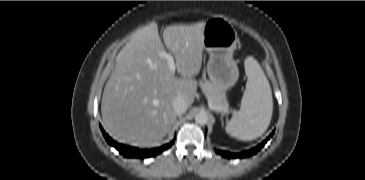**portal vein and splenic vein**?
Here are the masks:
<instances>
[{
	"label": "portal vein and splenic vein",
	"mask_w": 365,
	"mask_h": 180,
	"mask_svg": "<svg viewBox=\"0 0 365 180\" xmlns=\"http://www.w3.org/2000/svg\"><path fill=\"white\" fill-rule=\"evenodd\" d=\"M160 56L165 58L167 63H168V67H169V70L172 72V73H175V70H176V65H175V62H174V57L172 54H169L167 53L166 51L164 52H161L160 53ZM210 107L213 108V109H217L216 107H214L211 103H210Z\"/></svg>",
	"instance_id": "portal-vein-and-splenic-vein-1"
}]
</instances>
